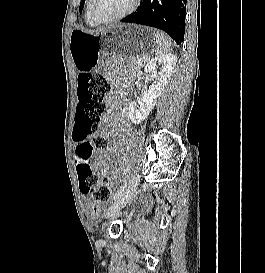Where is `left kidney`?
Listing matches in <instances>:
<instances>
[{"mask_svg": "<svg viewBox=\"0 0 265 273\" xmlns=\"http://www.w3.org/2000/svg\"><path fill=\"white\" fill-rule=\"evenodd\" d=\"M177 63L173 54H163L151 59L144 68L153 83L142 93V102L138 105L132 101L129 104V117L134 124H139L147 118L161 95ZM160 67V71L156 69Z\"/></svg>", "mask_w": 265, "mask_h": 273, "instance_id": "obj_1", "label": "left kidney"}]
</instances>
